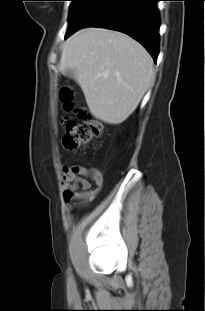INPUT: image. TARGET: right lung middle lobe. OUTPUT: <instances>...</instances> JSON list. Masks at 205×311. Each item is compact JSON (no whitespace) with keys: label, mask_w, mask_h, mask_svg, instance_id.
<instances>
[{"label":"right lung middle lobe","mask_w":205,"mask_h":311,"mask_svg":"<svg viewBox=\"0 0 205 311\" xmlns=\"http://www.w3.org/2000/svg\"><path fill=\"white\" fill-rule=\"evenodd\" d=\"M71 6H70V14H69V26L67 32L71 30L74 23L78 19V17L83 12L85 6L89 2V0H71Z\"/></svg>","instance_id":"dd1d6c3e"}]
</instances>
